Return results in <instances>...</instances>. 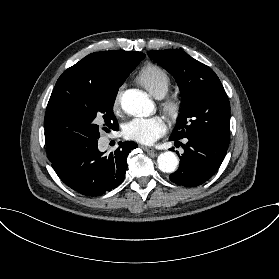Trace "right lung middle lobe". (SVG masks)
<instances>
[{
	"label": "right lung middle lobe",
	"mask_w": 279,
	"mask_h": 279,
	"mask_svg": "<svg viewBox=\"0 0 279 279\" xmlns=\"http://www.w3.org/2000/svg\"><path fill=\"white\" fill-rule=\"evenodd\" d=\"M127 77L97 83L67 84L51 94L44 119L49 160L97 141L101 121L108 128L118 129L113 104L118 88Z\"/></svg>",
	"instance_id": "dd1d6c3e"
}]
</instances>
